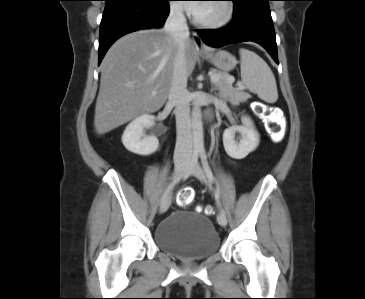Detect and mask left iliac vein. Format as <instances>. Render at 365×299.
I'll return each instance as SVG.
<instances>
[{
    "label": "left iliac vein",
    "mask_w": 365,
    "mask_h": 299,
    "mask_svg": "<svg viewBox=\"0 0 365 299\" xmlns=\"http://www.w3.org/2000/svg\"><path fill=\"white\" fill-rule=\"evenodd\" d=\"M192 174L197 177L201 182H206L207 181V177L203 171V169L201 168V166L199 164H197L194 169L191 171ZM217 221L218 224L222 227H225L227 225V218L224 214L219 213L217 216Z\"/></svg>",
    "instance_id": "obj_1"
}]
</instances>
